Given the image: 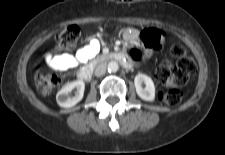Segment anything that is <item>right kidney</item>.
<instances>
[{
  "label": "right kidney",
  "mask_w": 225,
  "mask_h": 155,
  "mask_svg": "<svg viewBox=\"0 0 225 155\" xmlns=\"http://www.w3.org/2000/svg\"><path fill=\"white\" fill-rule=\"evenodd\" d=\"M77 89L75 96L70 97L69 93ZM85 83L81 80L69 82L62 87L56 95V101L60 107L70 108L80 102L84 95Z\"/></svg>",
  "instance_id": "right-kidney-1"
}]
</instances>
